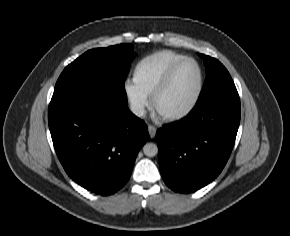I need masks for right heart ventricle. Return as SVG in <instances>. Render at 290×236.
I'll use <instances>...</instances> for the list:
<instances>
[{
	"instance_id": "e07e8e85",
	"label": "right heart ventricle",
	"mask_w": 290,
	"mask_h": 236,
	"mask_svg": "<svg viewBox=\"0 0 290 236\" xmlns=\"http://www.w3.org/2000/svg\"><path fill=\"white\" fill-rule=\"evenodd\" d=\"M182 58L183 56L171 51L153 54L138 65L133 81L149 95L171 66Z\"/></svg>"
}]
</instances>
